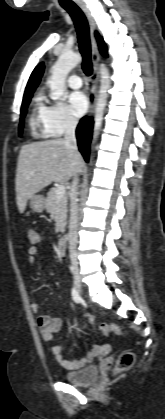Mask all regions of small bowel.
Instances as JSON below:
<instances>
[{"label": "small bowel", "instance_id": "1", "mask_svg": "<svg viewBox=\"0 0 165 419\" xmlns=\"http://www.w3.org/2000/svg\"><path fill=\"white\" fill-rule=\"evenodd\" d=\"M39 243H40V238H39V241L36 242L35 244H39ZM38 253H39V250L36 245H32L28 249V254H29L28 263L30 265H34L36 263ZM31 308L33 312L36 314V319H37L38 326L40 327L42 340L47 344H53L51 348V352L56 357L58 363L62 365L64 368L70 369V370L83 368L87 364L91 363L95 359V357L102 351L103 345L97 344L93 347L92 350L87 352V354L82 358H79L77 360H72L65 357L64 355H62L61 346L54 344V341H55L54 333L61 328V321L58 318H51L49 315L41 313L40 306L37 302H33L31 304ZM88 319L90 323L93 322V317L91 315H88ZM87 336H88V333H85L84 337H87Z\"/></svg>", "mask_w": 165, "mask_h": 419}]
</instances>
